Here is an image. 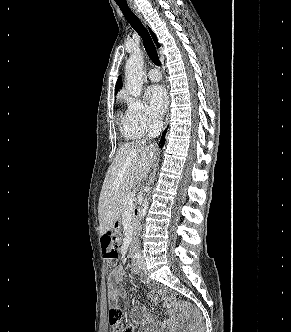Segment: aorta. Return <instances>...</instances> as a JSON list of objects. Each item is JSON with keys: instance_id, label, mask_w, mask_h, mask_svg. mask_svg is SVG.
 Wrapping results in <instances>:
<instances>
[{"instance_id": "1", "label": "aorta", "mask_w": 291, "mask_h": 332, "mask_svg": "<svg viewBox=\"0 0 291 332\" xmlns=\"http://www.w3.org/2000/svg\"><path fill=\"white\" fill-rule=\"evenodd\" d=\"M144 57L141 52H134L128 58L125 65L126 89L130 95L139 97L142 91L145 72L143 69ZM148 194L139 210V219L142 220L146 215L149 206L150 188Z\"/></svg>"}]
</instances>
